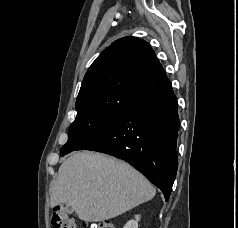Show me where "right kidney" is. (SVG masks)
<instances>
[{
  "label": "right kidney",
  "mask_w": 238,
  "mask_h": 228,
  "mask_svg": "<svg viewBox=\"0 0 238 228\" xmlns=\"http://www.w3.org/2000/svg\"><path fill=\"white\" fill-rule=\"evenodd\" d=\"M139 215L135 216V220H129L123 228H138Z\"/></svg>",
  "instance_id": "right-kidney-1"
}]
</instances>
